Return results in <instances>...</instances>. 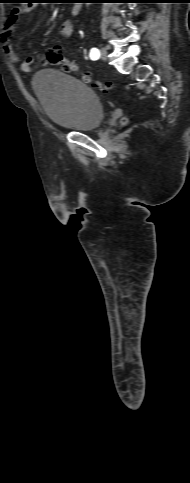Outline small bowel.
<instances>
[{
    "label": "small bowel",
    "mask_w": 190,
    "mask_h": 483,
    "mask_svg": "<svg viewBox=\"0 0 190 483\" xmlns=\"http://www.w3.org/2000/svg\"><path fill=\"white\" fill-rule=\"evenodd\" d=\"M34 7L31 4H25L20 7L13 8L9 17L6 21V27L1 35V41L3 46V51L10 61L13 63H18L20 69L29 73L32 67V58H27L22 60L19 55L15 52L12 46V37L15 30V22L17 19L25 14L30 13ZM73 25L70 21L63 22L58 29V34L61 38L69 39L73 35Z\"/></svg>",
    "instance_id": "small-bowel-1"
}]
</instances>
